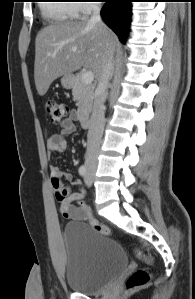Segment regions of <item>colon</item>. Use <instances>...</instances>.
I'll return each mask as SVG.
<instances>
[{
    "instance_id": "obj_1",
    "label": "colon",
    "mask_w": 195,
    "mask_h": 299,
    "mask_svg": "<svg viewBox=\"0 0 195 299\" xmlns=\"http://www.w3.org/2000/svg\"><path fill=\"white\" fill-rule=\"evenodd\" d=\"M46 110L50 116L51 122L53 124H58L64 119L67 118L69 114V108L66 103L58 102L54 100H49L46 103ZM59 181L57 180V184L55 185V193L58 201H63L66 198V194L59 189L58 187ZM79 214L83 220L88 222L92 228H94L97 232L102 235H110L111 230L108 226L102 224L98 219H96L89 211L87 206L83 203H79ZM137 257L143 262L150 264L152 262V258L150 255L143 253L140 250L136 251ZM150 281L149 273L144 269H139L135 271L126 281L127 290H135L141 288L148 284Z\"/></svg>"
}]
</instances>
